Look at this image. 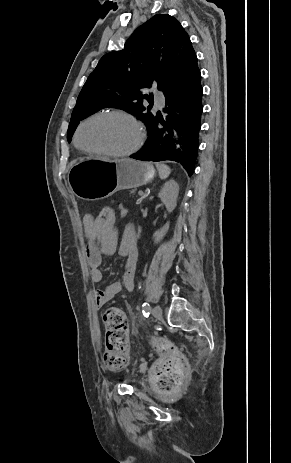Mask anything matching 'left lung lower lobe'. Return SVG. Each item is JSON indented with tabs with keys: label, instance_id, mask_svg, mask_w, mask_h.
<instances>
[{
	"label": "left lung lower lobe",
	"instance_id": "0a47b994",
	"mask_svg": "<svg viewBox=\"0 0 291 463\" xmlns=\"http://www.w3.org/2000/svg\"><path fill=\"white\" fill-rule=\"evenodd\" d=\"M165 95V119L159 114L147 126L144 147L131 157L143 161L172 160L180 163L188 175L194 172L198 155L201 114L203 111L199 68L181 79Z\"/></svg>",
	"mask_w": 291,
	"mask_h": 463
}]
</instances>
